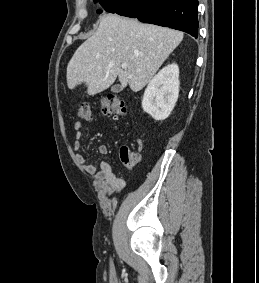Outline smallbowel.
Returning <instances> with one entry per match:
<instances>
[{
  "mask_svg": "<svg viewBox=\"0 0 259 283\" xmlns=\"http://www.w3.org/2000/svg\"><path fill=\"white\" fill-rule=\"evenodd\" d=\"M74 149L79 150L82 147V124L80 122H75L74 125ZM99 153L101 155H108L109 150L107 146L101 145L99 147ZM76 161L79 166L88 174H90L95 183L97 184L98 189L106 195H111L116 192H120L126 186V181L119 177L112 169L111 165L108 162L102 161L99 164V167L90 164L87 162L84 155L81 153L76 154ZM128 171H131L133 166L125 165Z\"/></svg>",
  "mask_w": 259,
  "mask_h": 283,
  "instance_id": "small-bowel-1",
  "label": "small bowel"
}]
</instances>
